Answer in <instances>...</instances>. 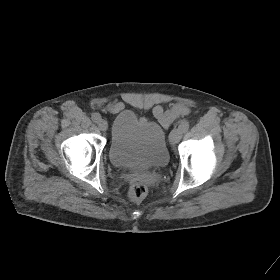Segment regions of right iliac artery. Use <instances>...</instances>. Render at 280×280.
Listing matches in <instances>:
<instances>
[{
	"label": "right iliac artery",
	"mask_w": 280,
	"mask_h": 280,
	"mask_svg": "<svg viewBox=\"0 0 280 280\" xmlns=\"http://www.w3.org/2000/svg\"><path fill=\"white\" fill-rule=\"evenodd\" d=\"M91 118L94 122L98 123L101 120V115L99 113H93Z\"/></svg>",
	"instance_id": "82829eb1"
}]
</instances>
